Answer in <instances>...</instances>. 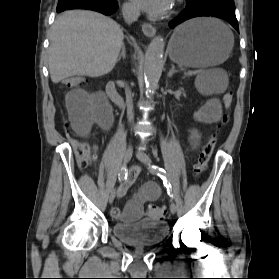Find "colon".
I'll return each mask as SVG.
<instances>
[{"label": "colon", "mask_w": 279, "mask_h": 279, "mask_svg": "<svg viewBox=\"0 0 279 279\" xmlns=\"http://www.w3.org/2000/svg\"><path fill=\"white\" fill-rule=\"evenodd\" d=\"M88 82V79L84 76H71L63 79L60 82V87L63 89L77 88ZM234 93L232 90H228L223 96V105L225 109H228L233 101ZM228 121V116L224 114L218 126L225 125ZM67 133L70 135V131ZM217 142L216 132H212L204 140L201 146L200 152L195 160L194 175L199 177L208 166V162L211 158L213 150ZM74 152L77 159V163L80 167H90L95 161V148L86 142H77L74 146ZM148 216L154 219H163L167 215V210L164 207L157 205H149L147 207Z\"/></svg>", "instance_id": "colon-1"}]
</instances>
